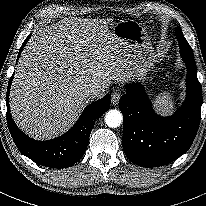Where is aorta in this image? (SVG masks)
<instances>
[{
  "label": "aorta",
  "instance_id": "1",
  "mask_svg": "<svg viewBox=\"0 0 206 206\" xmlns=\"http://www.w3.org/2000/svg\"><path fill=\"white\" fill-rule=\"evenodd\" d=\"M122 119V113L118 110H110L105 115V123L111 128L120 126Z\"/></svg>",
  "mask_w": 206,
  "mask_h": 206
}]
</instances>
